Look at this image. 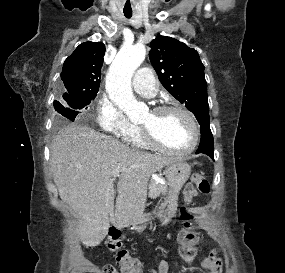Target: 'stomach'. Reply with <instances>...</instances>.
I'll use <instances>...</instances> for the list:
<instances>
[{"label": "stomach", "instance_id": "stomach-1", "mask_svg": "<svg viewBox=\"0 0 285 273\" xmlns=\"http://www.w3.org/2000/svg\"><path fill=\"white\" fill-rule=\"evenodd\" d=\"M190 173V165L179 160L171 163L165 168L164 174L168 181L169 194L164 203H162L158 209L157 216L160 219H168L171 215L172 210L176 209L179 192L182 186L188 180ZM147 221L148 217L145 216L143 219L137 220L128 226H133L137 230H143L146 227Z\"/></svg>", "mask_w": 285, "mask_h": 273}]
</instances>
